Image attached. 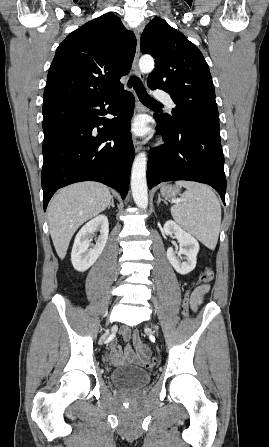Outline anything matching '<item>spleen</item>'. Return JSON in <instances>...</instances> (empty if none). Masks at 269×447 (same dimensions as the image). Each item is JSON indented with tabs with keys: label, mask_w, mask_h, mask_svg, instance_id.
<instances>
[{
	"label": "spleen",
	"mask_w": 269,
	"mask_h": 447,
	"mask_svg": "<svg viewBox=\"0 0 269 447\" xmlns=\"http://www.w3.org/2000/svg\"><path fill=\"white\" fill-rule=\"evenodd\" d=\"M187 192L181 202L172 206L171 214L175 222L195 235L209 249H215L221 225V206L212 188L197 182H175Z\"/></svg>",
	"instance_id": "spleen-1"
}]
</instances>
